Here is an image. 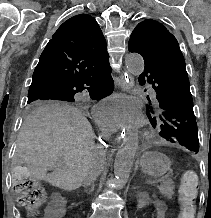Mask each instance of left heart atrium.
I'll list each match as a JSON object with an SVG mask.
<instances>
[{
    "label": "left heart atrium",
    "mask_w": 211,
    "mask_h": 218,
    "mask_svg": "<svg viewBox=\"0 0 211 218\" xmlns=\"http://www.w3.org/2000/svg\"><path fill=\"white\" fill-rule=\"evenodd\" d=\"M96 119L107 130L130 126L138 120L135 113L119 101L101 104L96 112Z\"/></svg>",
    "instance_id": "39dd6f15"
}]
</instances>
